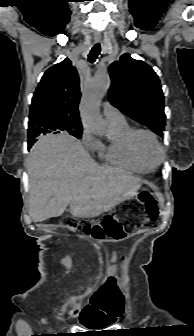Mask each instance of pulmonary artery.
Wrapping results in <instances>:
<instances>
[{
	"label": "pulmonary artery",
	"instance_id": "1",
	"mask_svg": "<svg viewBox=\"0 0 194 336\" xmlns=\"http://www.w3.org/2000/svg\"><path fill=\"white\" fill-rule=\"evenodd\" d=\"M102 111L105 119L111 125L125 122L123 114L107 101L102 104Z\"/></svg>",
	"mask_w": 194,
	"mask_h": 336
}]
</instances>
